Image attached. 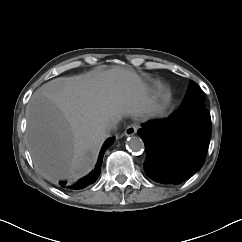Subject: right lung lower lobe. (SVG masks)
I'll use <instances>...</instances> for the list:
<instances>
[{
  "instance_id": "98d812e1",
  "label": "right lung lower lobe",
  "mask_w": 242,
  "mask_h": 242,
  "mask_svg": "<svg viewBox=\"0 0 242 242\" xmlns=\"http://www.w3.org/2000/svg\"><path fill=\"white\" fill-rule=\"evenodd\" d=\"M113 139H108L102 150H101V153H100V156H99V160L97 162V165L95 167V170L92 171L89 175H87L86 177L82 178L79 182L75 183V184H68L66 181H62L60 182V185L66 189H69V190H79V189H83L85 188L86 186L92 184L95 182V180L98 178V176L100 175V172H101V165H102V160H103V155L106 151V149L113 143Z\"/></svg>"
}]
</instances>
